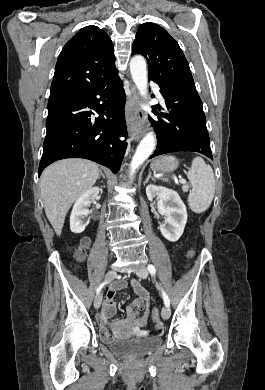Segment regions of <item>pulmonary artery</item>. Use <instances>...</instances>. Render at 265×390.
Returning a JSON list of instances; mask_svg holds the SVG:
<instances>
[{
  "label": "pulmonary artery",
  "instance_id": "e3ab8cb5",
  "mask_svg": "<svg viewBox=\"0 0 265 390\" xmlns=\"http://www.w3.org/2000/svg\"><path fill=\"white\" fill-rule=\"evenodd\" d=\"M151 87L153 88L157 96L162 100L161 94L159 92V86L156 83L151 82Z\"/></svg>",
  "mask_w": 265,
  "mask_h": 390
}]
</instances>
